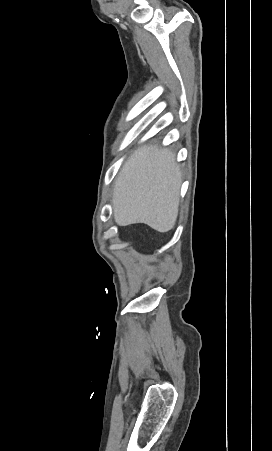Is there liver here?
I'll return each mask as SVG.
<instances>
[{
	"instance_id": "1",
	"label": "liver",
	"mask_w": 272,
	"mask_h": 451,
	"mask_svg": "<svg viewBox=\"0 0 272 451\" xmlns=\"http://www.w3.org/2000/svg\"><path fill=\"white\" fill-rule=\"evenodd\" d=\"M181 170L175 154L143 146L119 172L113 190L114 220L118 226L147 224L169 231L178 216Z\"/></svg>"
}]
</instances>
